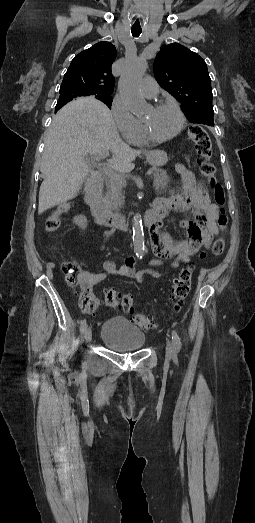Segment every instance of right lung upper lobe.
<instances>
[{
    "label": "right lung upper lobe",
    "mask_w": 255,
    "mask_h": 523,
    "mask_svg": "<svg viewBox=\"0 0 255 523\" xmlns=\"http://www.w3.org/2000/svg\"><path fill=\"white\" fill-rule=\"evenodd\" d=\"M115 58V46L106 41L82 51L72 60L65 73L60 92L80 96L111 95L115 85L111 65ZM66 103V101H58L55 112Z\"/></svg>",
    "instance_id": "1"
}]
</instances>
